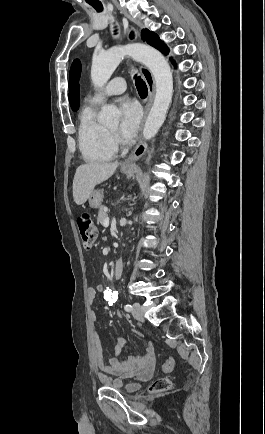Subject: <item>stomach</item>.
<instances>
[{
  "label": "stomach",
  "instance_id": "obj_1",
  "mask_svg": "<svg viewBox=\"0 0 265 434\" xmlns=\"http://www.w3.org/2000/svg\"><path fill=\"white\" fill-rule=\"evenodd\" d=\"M132 168H125V166H121V172L122 174H130L132 172ZM103 190H94V192H91V196H89V204L90 208H99L103 202Z\"/></svg>",
  "mask_w": 265,
  "mask_h": 434
}]
</instances>
